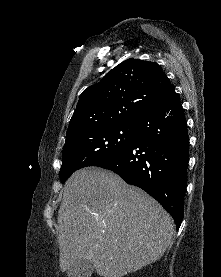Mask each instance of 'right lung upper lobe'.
<instances>
[{"mask_svg": "<svg viewBox=\"0 0 221 277\" xmlns=\"http://www.w3.org/2000/svg\"><path fill=\"white\" fill-rule=\"evenodd\" d=\"M174 93L157 63L128 59L80 95L66 140L96 126L134 123Z\"/></svg>", "mask_w": 221, "mask_h": 277, "instance_id": "cb5924a9", "label": "right lung upper lobe"}]
</instances>
